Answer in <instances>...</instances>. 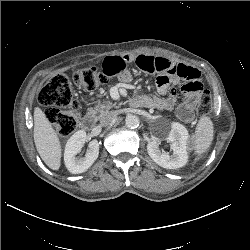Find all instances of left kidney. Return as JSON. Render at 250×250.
I'll return each instance as SVG.
<instances>
[{"label":"left kidney","mask_w":250,"mask_h":250,"mask_svg":"<svg viewBox=\"0 0 250 250\" xmlns=\"http://www.w3.org/2000/svg\"><path fill=\"white\" fill-rule=\"evenodd\" d=\"M173 154L160 150V139H151L147 144V152L152 160L159 166L166 169H177L188 162L187 145L189 134L185 126L178 122L171 123V130L167 137Z\"/></svg>","instance_id":"left-kidney-1"}]
</instances>
